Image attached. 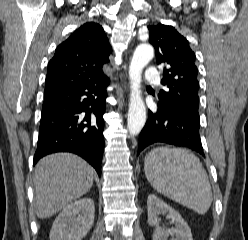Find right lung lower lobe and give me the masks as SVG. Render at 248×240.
Instances as JSON below:
<instances>
[{
    "label": "right lung lower lobe",
    "instance_id": "1",
    "mask_svg": "<svg viewBox=\"0 0 248 240\" xmlns=\"http://www.w3.org/2000/svg\"><path fill=\"white\" fill-rule=\"evenodd\" d=\"M106 76L44 95L39 139L34 164L54 152H72L83 157L101 175L104 151Z\"/></svg>",
    "mask_w": 248,
    "mask_h": 240
}]
</instances>
